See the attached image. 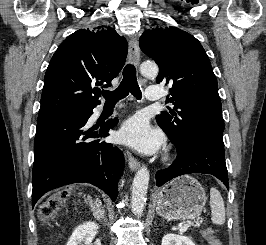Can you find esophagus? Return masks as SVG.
<instances>
[{"label": "esophagus", "instance_id": "esophagus-1", "mask_svg": "<svg viewBox=\"0 0 266 245\" xmlns=\"http://www.w3.org/2000/svg\"><path fill=\"white\" fill-rule=\"evenodd\" d=\"M128 56L132 63L139 64L140 50L136 40L129 41ZM128 164L131 170H137L140 167V162L132 154H128Z\"/></svg>", "mask_w": 266, "mask_h": 245}]
</instances>
